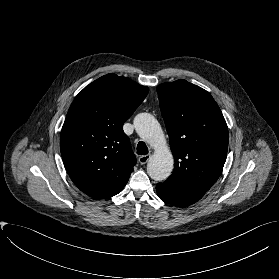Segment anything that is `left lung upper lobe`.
I'll list each match as a JSON object with an SVG mask.
<instances>
[{"instance_id": "obj_1", "label": "left lung upper lobe", "mask_w": 279, "mask_h": 279, "mask_svg": "<svg viewBox=\"0 0 279 279\" xmlns=\"http://www.w3.org/2000/svg\"><path fill=\"white\" fill-rule=\"evenodd\" d=\"M175 159L165 181L203 196L220 177L227 157L228 128L209 92L186 80L157 87Z\"/></svg>"}]
</instances>
